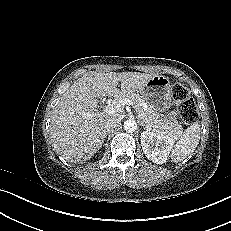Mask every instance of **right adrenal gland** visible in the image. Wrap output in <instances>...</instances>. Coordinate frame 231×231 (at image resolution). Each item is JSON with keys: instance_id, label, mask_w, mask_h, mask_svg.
<instances>
[{"instance_id": "2a0ac1e0", "label": "right adrenal gland", "mask_w": 231, "mask_h": 231, "mask_svg": "<svg viewBox=\"0 0 231 231\" xmlns=\"http://www.w3.org/2000/svg\"><path fill=\"white\" fill-rule=\"evenodd\" d=\"M108 134H109V132L106 133L105 138H107Z\"/></svg>"}]
</instances>
